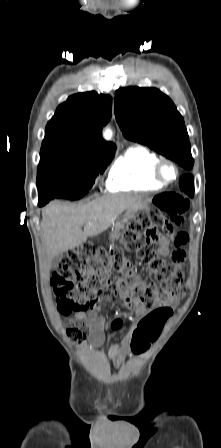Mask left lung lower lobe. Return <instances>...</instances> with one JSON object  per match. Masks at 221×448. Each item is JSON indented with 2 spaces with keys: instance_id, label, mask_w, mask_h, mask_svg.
<instances>
[{
  "instance_id": "1",
  "label": "left lung lower lobe",
  "mask_w": 221,
  "mask_h": 448,
  "mask_svg": "<svg viewBox=\"0 0 221 448\" xmlns=\"http://www.w3.org/2000/svg\"><path fill=\"white\" fill-rule=\"evenodd\" d=\"M179 186L190 197L194 196V181L192 175H184L180 178Z\"/></svg>"
}]
</instances>
